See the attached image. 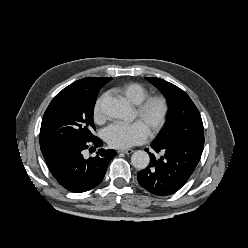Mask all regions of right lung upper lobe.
I'll use <instances>...</instances> for the list:
<instances>
[{
    "label": "right lung upper lobe",
    "instance_id": "right-lung-upper-lobe-1",
    "mask_svg": "<svg viewBox=\"0 0 248 248\" xmlns=\"http://www.w3.org/2000/svg\"><path fill=\"white\" fill-rule=\"evenodd\" d=\"M110 80L111 78H104V77L83 78L70 84L63 90L92 94L95 91H99Z\"/></svg>",
    "mask_w": 248,
    "mask_h": 248
}]
</instances>
